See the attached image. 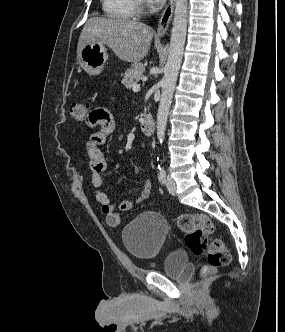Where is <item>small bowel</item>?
Returning a JSON list of instances; mask_svg holds the SVG:
<instances>
[{
  "instance_id": "small-bowel-1",
  "label": "small bowel",
  "mask_w": 285,
  "mask_h": 332,
  "mask_svg": "<svg viewBox=\"0 0 285 332\" xmlns=\"http://www.w3.org/2000/svg\"><path fill=\"white\" fill-rule=\"evenodd\" d=\"M81 122L84 126H92L93 131L96 126L97 129L91 134L88 142V155L92 171L91 183L94 188L96 201L101 206V211L106 217V222L111 227H118L122 222V211L132 209L136 204L145 201L151 192V184L147 182L140 194L135 200H124L119 204H113L109 196L103 190V173L107 168L106 154L103 145L106 137L113 132L115 128V121L107 106H92V111H86V115H81ZM136 172L140 171L137 167Z\"/></svg>"
}]
</instances>
